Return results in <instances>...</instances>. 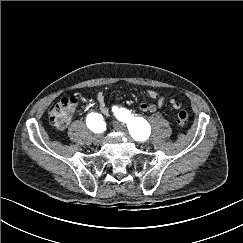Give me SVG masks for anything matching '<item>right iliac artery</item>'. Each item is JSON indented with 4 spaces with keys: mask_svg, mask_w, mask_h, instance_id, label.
Returning <instances> with one entry per match:
<instances>
[{
    "mask_svg": "<svg viewBox=\"0 0 243 243\" xmlns=\"http://www.w3.org/2000/svg\"><path fill=\"white\" fill-rule=\"evenodd\" d=\"M86 124L91 131L99 133L104 125L103 117L98 113H91L87 116Z\"/></svg>",
    "mask_w": 243,
    "mask_h": 243,
    "instance_id": "obj_1",
    "label": "right iliac artery"
}]
</instances>
